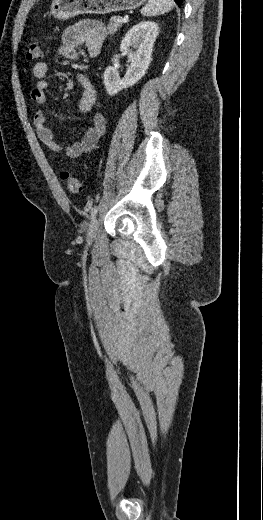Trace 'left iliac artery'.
Masks as SVG:
<instances>
[{
  "instance_id": "obj_1",
  "label": "left iliac artery",
  "mask_w": 263,
  "mask_h": 520,
  "mask_svg": "<svg viewBox=\"0 0 263 520\" xmlns=\"http://www.w3.org/2000/svg\"><path fill=\"white\" fill-rule=\"evenodd\" d=\"M98 211V207L94 206L91 210V218L94 219Z\"/></svg>"
}]
</instances>
